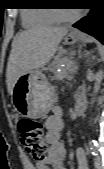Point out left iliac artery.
Listing matches in <instances>:
<instances>
[{"instance_id": "obj_1", "label": "left iliac artery", "mask_w": 104, "mask_h": 169, "mask_svg": "<svg viewBox=\"0 0 104 169\" xmlns=\"http://www.w3.org/2000/svg\"><path fill=\"white\" fill-rule=\"evenodd\" d=\"M89 148H90L91 154L93 156H97L98 155V144H97V141L91 140L89 142Z\"/></svg>"}]
</instances>
